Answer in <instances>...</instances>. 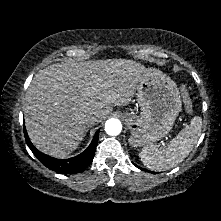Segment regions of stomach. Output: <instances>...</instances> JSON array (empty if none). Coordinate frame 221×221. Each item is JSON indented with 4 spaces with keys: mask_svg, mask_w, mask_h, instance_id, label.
I'll list each match as a JSON object with an SVG mask.
<instances>
[{
    "mask_svg": "<svg viewBox=\"0 0 221 221\" xmlns=\"http://www.w3.org/2000/svg\"><path fill=\"white\" fill-rule=\"evenodd\" d=\"M140 115L126 112V124L133 147L159 141L172 129L181 111V96L176 83L157 69H146L137 85Z\"/></svg>",
    "mask_w": 221,
    "mask_h": 221,
    "instance_id": "obj_1",
    "label": "stomach"
}]
</instances>
